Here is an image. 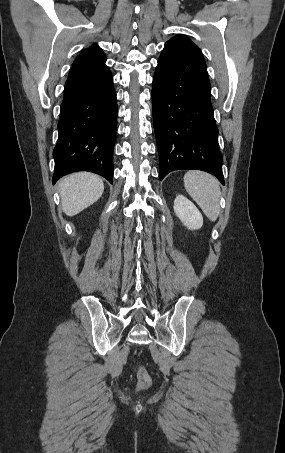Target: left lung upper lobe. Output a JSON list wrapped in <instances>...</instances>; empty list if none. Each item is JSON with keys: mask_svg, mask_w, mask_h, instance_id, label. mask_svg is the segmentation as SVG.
Masks as SVG:
<instances>
[{"mask_svg": "<svg viewBox=\"0 0 285 453\" xmlns=\"http://www.w3.org/2000/svg\"><path fill=\"white\" fill-rule=\"evenodd\" d=\"M165 45L184 49L204 59L199 47L185 36L177 35L168 40Z\"/></svg>", "mask_w": 285, "mask_h": 453, "instance_id": "1", "label": "left lung upper lobe"}]
</instances>
